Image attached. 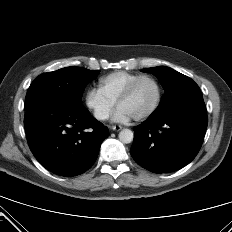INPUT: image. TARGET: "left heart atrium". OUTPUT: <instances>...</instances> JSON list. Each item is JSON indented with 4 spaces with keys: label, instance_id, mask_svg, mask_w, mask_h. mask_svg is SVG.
I'll use <instances>...</instances> for the list:
<instances>
[{
    "label": "left heart atrium",
    "instance_id": "left-heart-atrium-1",
    "mask_svg": "<svg viewBox=\"0 0 232 232\" xmlns=\"http://www.w3.org/2000/svg\"><path fill=\"white\" fill-rule=\"evenodd\" d=\"M133 117L131 114H129L126 110L119 107L113 116V121L117 123H127L129 122Z\"/></svg>",
    "mask_w": 232,
    "mask_h": 232
}]
</instances>
